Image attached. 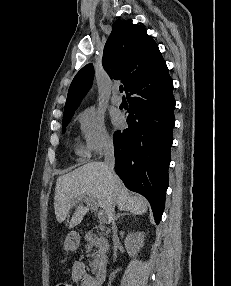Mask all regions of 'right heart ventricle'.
<instances>
[{
    "mask_svg": "<svg viewBox=\"0 0 231 286\" xmlns=\"http://www.w3.org/2000/svg\"><path fill=\"white\" fill-rule=\"evenodd\" d=\"M76 154L81 158H85L88 156L87 151L81 146L76 147Z\"/></svg>",
    "mask_w": 231,
    "mask_h": 286,
    "instance_id": "right-heart-ventricle-1",
    "label": "right heart ventricle"
}]
</instances>
